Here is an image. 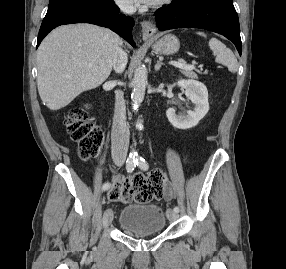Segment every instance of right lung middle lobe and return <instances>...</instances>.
Wrapping results in <instances>:
<instances>
[{"instance_id":"1","label":"right lung middle lobe","mask_w":286,"mask_h":269,"mask_svg":"<svg viewBox=\"0 0 286 269\" xmlns=\"http://www.w3.org/2000/svg\"><path fill=\"white\" fill-rule=\"evenodd\" d=\"M79 2L90 3L102 9H111L115 5L113 0H50L48 11Z\"/></svg>"}]
</instances>
